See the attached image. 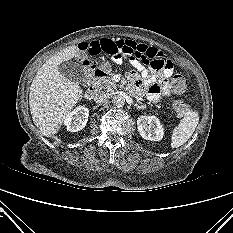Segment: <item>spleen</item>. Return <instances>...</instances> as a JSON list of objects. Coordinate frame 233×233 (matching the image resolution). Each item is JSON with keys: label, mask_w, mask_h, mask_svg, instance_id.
<instances>
[{"label": "spleen", "mask_w": 233, "mask_h": 233, "mask_svg": "<svg viewBox=\"0 0 233 233\" xmlns=\"http://www.w3.org/2000/svg\"><path fill=\"white\" fill-rule=\"evenodd\" d=\"M199 123V114L197 111L188 110L184 118L181 119L178 126L173 129L171 137V147L178 148L188 141L193 135Z\"/></svg>", "instance_id": "1"}]
</instances>
